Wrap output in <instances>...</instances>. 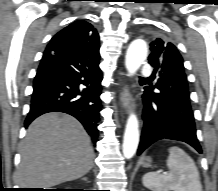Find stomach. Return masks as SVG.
<instances>
[{
    "mask_svg": "<svg viewBox=\"0 0 218 191\" xmlns=\"http://www.w3.org/2000/svg\"><path fill=\"white\" fill-rule=\"evenodd\" d=\"M141 164L143 167H150L152 165V158L150 157L143 158Z\"/></svg>",
    "mask_w": 218,
    "mask_h": 191,
    "instance_id": "1",
    "label": "stomach"
}]
</instances>
